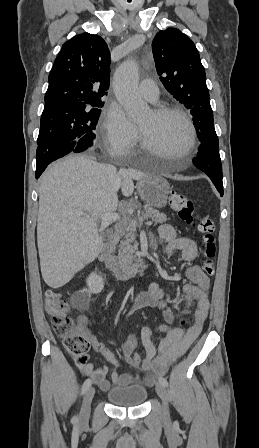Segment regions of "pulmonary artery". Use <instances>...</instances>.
<instances>
[{"label":"pulmonary artery","mask_w":259,"mask_h":448,"mask_svg":"<svg viewBox=\"0 0 259 448\" xmlns=\"http://www.w3.org/2000/svg\"><path fill=\"white\" fill-rule=\"evenodd\" d=\"M139 93L151 102H155L159 98V89L155 81L143 80L138 86Z\"/></svg>","instance_id":"obj_1"}]
</instances>
